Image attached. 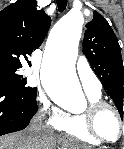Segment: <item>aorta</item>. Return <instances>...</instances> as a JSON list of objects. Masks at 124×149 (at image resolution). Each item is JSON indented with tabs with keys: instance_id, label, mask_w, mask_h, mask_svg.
I'll return each mask as SVG.
<instances>
[{
	"instance_id": "762f6f07",
	"label": "aorta",
	"mask_w": 124,
	"mask_h": 149,
	"mask_svg": "<svg viewBox=\"0 0 124 149\" xmlns=\"http://www.w3.org/2000/svg\"><path fill=\"white\" fill-rule=\"evenodd\" d=\"M83 24L80 11L68 12L55 24L41 69V82L46 93L54 101L69 104L71 109L85 105L75 70Z\"/></svg>"
}]
</instances>
